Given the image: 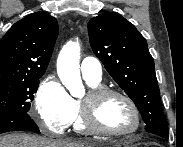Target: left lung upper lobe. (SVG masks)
Listing matches in <instances>:
<instances>
[{
    "mask_svg": "<svg viewBox=\"0 0 183 147\" xmlns=\"http://www.w3.org/2000/svg\"><path fill=\"white\" fill-rule=\"evenodd\" d=\"M88 31L93 52L136 104L146 123V131L168 138L154 61L146 39L133 24L115 12L90 19Z\"/></svg>",
    "mask_w": 183,
    "mask_h": 147,
    "instance_id": "left-lung-upper-lobe-1",
    "label": "left lung upper lobe"
}]
</instances>
